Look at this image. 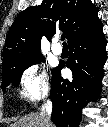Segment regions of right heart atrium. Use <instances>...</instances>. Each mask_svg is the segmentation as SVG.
Returning a JSON list of instances; mask_svg holds the SVG:
<instances>
[{
    "label": "right heart atrium",
    "mask_w": 108,
    "mask_h": 127,
    "mask_svg": "<svg viewBox=\"0 0 108 127\" xmlns=\"http://www.w3.org/2000/svg\"><path fill=\"white\" fill-rule=\"evenodd\" d=\"M22 96L31 102L38 101L46 97L49 93V75L43 66L31 64L24 69L20 79Z\"/></svg>",
    "instance_id": "right-heart-atrium-1"
}]
</instances>
